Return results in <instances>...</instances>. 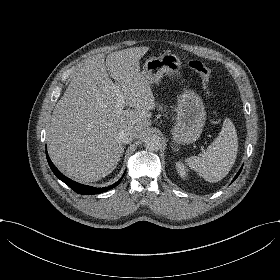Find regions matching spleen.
<instances>
[{"mask_svg":"<svg viewBox=\"0 0 280 280\" xmlns=\"http://www.w3.org/2000/svg\"><path fill=\"white\" fill-rule=\"evenodd\" d=\"M238 151V138L234 124L229 118L223 122L218 137L200 156H192L185 160L186 164L198 172L208 182L222 180L235 163Z\"/></svg>","mask_w":280,"mask_h":280,"instance_id":"spleen-1","label":"spleen"}]
</instances>
